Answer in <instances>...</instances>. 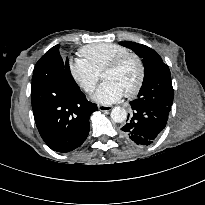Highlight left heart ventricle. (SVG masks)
Instances as JSON below:
<instances>
[{
    "mask_svg": "<svg viewBox=\"0 0 205 205\" xmlns=\"http://www.w3.org/2000/svg\"><path fill=\"white\" fill-rule=\"evenodd\" d=\"M138 67L134 60H128L121 67L103 73L105 81H112L120 86L124 92L133 87L137 80Z\"/></svg>",
    "mask_w": 205,
    "mask_h": 205,
    "instance_id": "left-heart-ventricle-1",
    "label": "left heart ventricle"
}]
</instances>
